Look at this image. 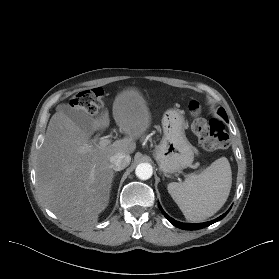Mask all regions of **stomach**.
<instances>
[{"label":"stomach","mask_w":279,"mask_h":279,"mask_svg":"<svg viewBox=\"0 0 279 279\" xmlns=\"http://www.w3.org/2000/svg\"><path fill=\"white\" fill-rule=\"evenodd\" d=\"M188 124L180 110H167L162 118L163 138L154 156L164 174L179 172L189 167L194 159V147L185 135Z\"/></svg>","instance_id":"stomach-1"}]
</instances>
